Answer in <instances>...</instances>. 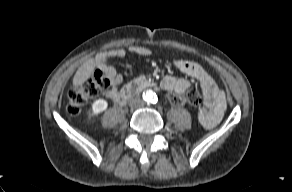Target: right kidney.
<instances>
[{"instance_id": "obj_1", "label": "right kidney", "mask_w": 292, "mask_h": 192, "mask_svg": "<svg viewBox=\"0 0 292 192\" xmlns=\"http://www.w3.org/2000/svg\"><path fill=\"white\" fill-rule=\"evenodd\" d=\"M108 104L104 99H98L96 100L93 105H92V116H97L100 114L102 111L106 110Z\"/></svg>"}]
</instances>
